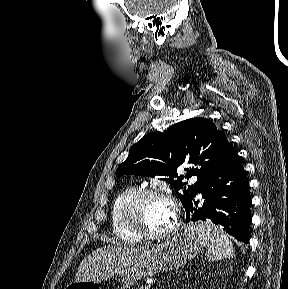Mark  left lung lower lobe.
I'll return each instance as SVG.
<instances>
[{"mask_svg": "<svg viewBox=\"0 0 288 289\" xmlns=\"http://www.w3.org/2000/svg\"><path fill=\"white\" fill-rule=\"evenodd\" d=\"M198 193H201L203 203L199 205V201L193 198L185 206L187 222L211 220L223 226L238 241L248 243L251 220L249 185L246 172L231 143Z\"/></svg>", "mask_w": 288, "mask_h": 289, "instance_id": "obj_1", "label": "left lung lower lobe"}]
</instances>
